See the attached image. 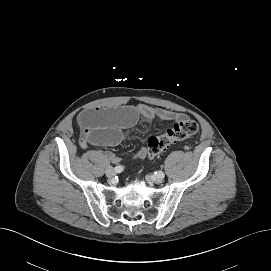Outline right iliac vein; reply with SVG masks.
Masks as SVG:
<instances>
[{"label": "right iliac vein", "instance_id": "1", "mask_svg": "<svg viewBox=\"0 0 271 271\" xmlns=\"http://www.w3.org/2000/svg\"><path fill=\"white\" fill-rule=\"evenodd\" d=\"M114 175H115V171H114L112 168L107 169V171H106V176H107L108 178H113Z\"/></svg>", "mask_w": 271, "mask_h": 271}]
</instances>
